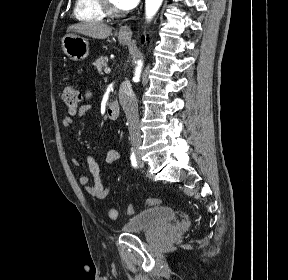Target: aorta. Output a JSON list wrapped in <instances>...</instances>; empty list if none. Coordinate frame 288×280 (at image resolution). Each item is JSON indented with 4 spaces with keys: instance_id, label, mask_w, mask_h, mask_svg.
<instances>
[{
    "instance_id": "1",
    "label": "aorta",
    "mask_w": 288,
    "mask_h": 280,
    "mask_svg": "<svg viewBox=\"0 0 288 280\" xmlns=\"http://www.w3.org/2000/svg\"><path fill=\"white\" fill-rule=\"evenodd\" d=\"M162 2L163 0H145V11L147 19H151L156 14L160 6L162 5ZM141 71H142V62L138 61L134 77L136 81H139Z\"/></svg>"
}]
</instances>
